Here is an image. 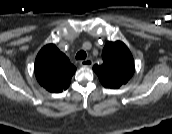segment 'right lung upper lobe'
<instances>
[{
	"label": "right lung upper lobe",
	"instance_id": "right-lung-upper-lobe-1",
	"mask_svg": "<svg viewBox=\"0 0 172 134\" xmlns=\"http://www.w3.org/2000/svg\"><path fill=\"white\" fill-rule=\"evenodd\" d=\"M76 68L55 44L44 46L35 59V76L46 90L54 93L66 90Z\"/></svg>",
	"mask_w": 172,
	"mask_h": 134
}]
</instances>
